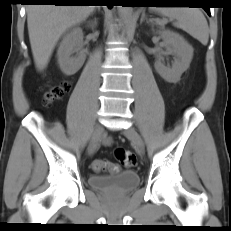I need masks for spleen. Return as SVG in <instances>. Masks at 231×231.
I'll return each instance as SVG.
<instances>
[{"instance_id":"3e777b00","label":"spleen","mask_w":231,"mask_h":231,"mask_svg":"<svg viewBox=\"0 0 231 231\" xmlns=\"http://www.w3.org/2000/svg\"><path fill=\"white\" fill-rule=\"evenodd\" d=\"M150 9L175 20L173 23L175 27L187 32L203 45H207L209 39L208 23L199 9L189 7H153Z\"/></svg>"}]
</instances>
